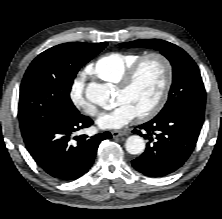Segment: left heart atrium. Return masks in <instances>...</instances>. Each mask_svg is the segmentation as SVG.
Segmentation results:
<instances>
[{
  "label": "left heart atrium",
  "instance_id": "left-heart-atrium-1",
  "mask_svg": "<svg viewBox=\"0 0 222 219\" xmlns=\"http://www.w3.org/2000/svg\"><path fill=\"white\" fill-rule=\"evenodd\" d=\"M135 109L126 102H121L110 112L102 114L97 124L102 129H121L137 117Z\"/></svg>",
  "mask_w": 222,
  "mask_h": 219
}]
</instances>
